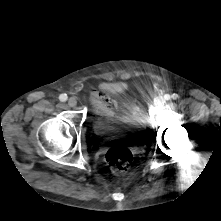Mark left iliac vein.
Listing matches in <instances>:
<instances>
[{
	"label": "left iliac vein",
	"instance_id": "4c4485c4",
	"mask_svg": "<svg viewBox=\"0 0 221 221\" xmlns=\"http://www.w3.org/2000/svg\"><path fill=\"white\" fill-rule=\"evenodd\" d=\"M164 102H165L164 99H158V100L156 101V105H157V106H161V105L164 104Z\"/></svg>",
	"mask_w": 221,
	"mask_h": 221
}]
</instances>
